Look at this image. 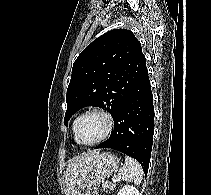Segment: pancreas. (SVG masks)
<instances>
[{"mask_svg": "<svg viewBox=\"0 0 211 195\" xmlns=\"http://www.w3.org/2000/svg\"><path fill=\"white\" fill-rule=\"evenodd\" d=\"M103 187L104 188H108L109 190H113L116 187V184L115 183H111V182H105L103 184Z\"/></svg>", "mask_w": 211, "mask_h": 195, "instance_id": "cf45deb5", "label": "pancreas"}]
</instances>
